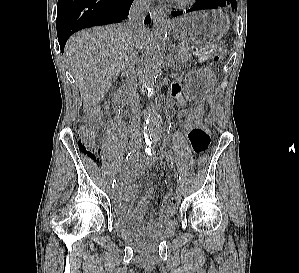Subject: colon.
Masks as SVG:
<instances>
[{
    "mask_svg": "<svg viewBox=\"0 0 299 273\" xmlns=\"http://www.w3.org/2000/svg\"><path fill=\"white\" fill-rule=\"evenodd\" d=\"M192 52L195 58L204 64L216 65L222 61L225 55V47L222 42L208 45H194ZM205 107L203 104L193 106L186 116L183 125L186 130L203 125ZM98 127L95 121L88 120L77 128V143L82 154L96 160L100 154V149L96 144ZM208 158L201 155L197 159V166L202 168L206 165ZM180 194L176 190L175 196L170 200L172 206H177Z\"/></svg>",
    "mask_w": 299,
    "mask_h": 273,
    "instance_id": "1",
    "label": "colon"
}]
</instances>
